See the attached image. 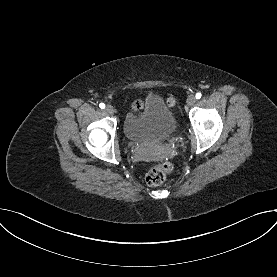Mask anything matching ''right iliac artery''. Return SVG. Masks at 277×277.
Listing matches in <instances>:
<instances>
[{
	"label": "right iliac artery",
	"instance_id": "obj_1",
	"mask_svg": "<svg viewBox=\"0 0 277 277\" xmlns=\"http://www.w3.org/2000/svg\"><path fill=\"white\" fill-rule=\"evenodd\" d=\"M99 107H100L101 109H104V108H105V104H104V103H100V104H99Z\"/></svg>",
	"mask_w": 277,
	"mask_h": 277
}]
</instances>
